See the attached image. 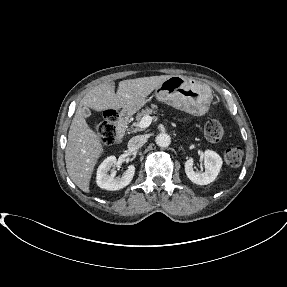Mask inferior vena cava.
I'll list each match as a JSON object with an SVG mask.
<instances>
[{"mask_svg":"<svg viewBox=\"0 0 287 287\" xmlns=\"http://www.w3.org/2000/svg\"><path fill=\"white\" fill-rule=\"evenodd\" d=\"M146 142V137L143 135H138L132 137L128 142V149L130 151H135L141 148Z\"/></svg>","mask_w":287,"mask_h":287,"instance_id":"obj_1","label":"inferior vena cava"}]
</instances>
